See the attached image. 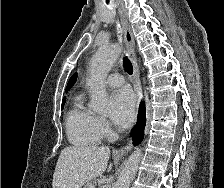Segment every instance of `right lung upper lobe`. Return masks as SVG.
Segmentation results:
<instances>
[{
	"instance_id": "cb5924a9",
	"label": "right lung upper lobe",
	"mask_w": 224,
	"mask_h": 188,
	"mask_svg": "<svg viewBox=\"0 0 224 188\" xmlns=\"http://www.w3.org/2000/svg\"><path fill=\"white\" fill-rule=\"evenodd\" d=\"M76 78H77V73H75V74L71 77V79L69 80L68 85H67V88H66V91H68V90L73 86V84H74L75 81H76ZM63 102H65V98L63 99Z\"/></svg>"
}]
</instances>
